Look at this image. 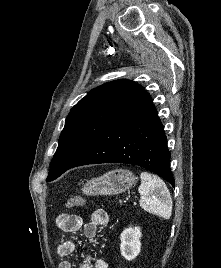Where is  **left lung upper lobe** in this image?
<instances>
[{
    "mask_svg": "<svg viewBox=\"0 0 221 268\" xmlns=\"http://www.w3.org/2000/svg\"><path fill=\"white\" fill-rule=\"evenodd\" d=\"M149 100L150 94L142 86L126 79L90 91L65 121L46 180L52 181L67 171L111 123Z\"/></svg>",
    "mask_w": 221,
    "mask_h": 268,
    "instance_id": "5c2ea615",
    "label": "left lung upper lobe"
}]
</instances>
